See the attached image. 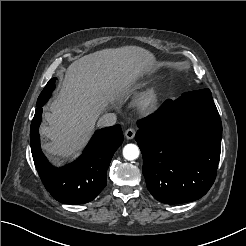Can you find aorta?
<instances>
[{
    "mask_svg": "<svg viewBox=\"0 0 246 246\" xmlns=\"http://www.w3.org/2000/svg\"><path fill=\"white\" fill-rule=\"evenodd\" d=\"M139 148L135 144H127L123 148V156L126 160L132 161L139 157Z\"/></svg>",
    "mask_w": 246,
    "mask_h": 246,
    "instance_id": "obj_1",
    "label": "aorta"
}]
</instances>
